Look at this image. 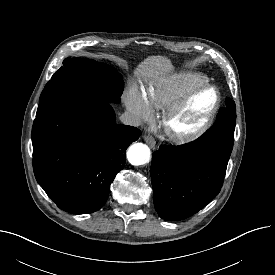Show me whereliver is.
Segmentation results:
<instances>
[{
  "label": "liver",
  "mask_w": 275,
  "mask_h": 275,
  "mask_svg": "<svg viewBox=\"0 0 275 275\" xmlns=\"http://www.w3.org/2000/svg\"><path fill=\"white\" fill-rule=\"evenodd\" d=\"M173 70L171 61L164 56H150L146 58L137 68L136 74L144 77H156L165 75Z\"/></svg>",
  "instance_id": "liver-1"
}]
</instances>
